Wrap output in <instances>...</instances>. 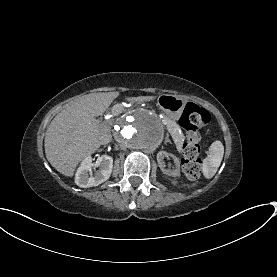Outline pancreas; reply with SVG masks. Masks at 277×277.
<instances>
[{
  "label": "pancreas",
  "instance_id": "1",
  "mask_svg": "<svg viewBox=\"0 0 277 277\" xmlns=\"http://www.w3.org/2000/svg\"><path fill=\"white\" fill-rule=\"evenodd\" d=\"M166 130L172 136V144L175 147L181 148L184 145L183 137L181 136L182 128L179 125H176L174 122L169 121L166 125Z\"/></svg>",
  "mask_w": 277,
  "mask_h": 277
}]
</instances>
